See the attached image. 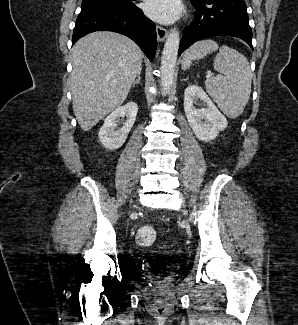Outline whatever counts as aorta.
Instances as JSON below:
<instances>
[{"label": "aorta", "mask_w": 298, "mask_h": 325, "mask_svg": "<svg viewBox=\"0 0 298 325\" xmlns=\"http://www.w3.org/2000/svg\"><path fill=\"white\" fill-rule=\"evenodd\" d=\"M180 32L177 26L170 28L168 36L164 42L161 62H160V86L162 92L168 94V90L172 88L174 82L179 46H180Z\"/></svg>", "instance_id": "1"}]
</instances>
